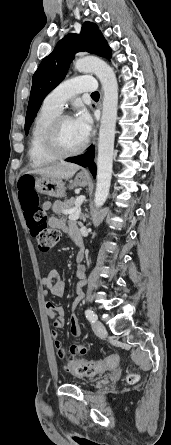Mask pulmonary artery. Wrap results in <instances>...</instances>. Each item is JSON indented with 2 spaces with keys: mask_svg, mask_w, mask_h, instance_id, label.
Segmentation results:
<instances>
[{
  "mask_svg": "<svg viewBox=\"0 0 171 445\" xmlns=\"http://www.w3.org/2000/svg\"><path fill=\"white\" fill-rule=\"evenodd\" d=\"M95 79L91 76H78L68 79L55 87L45 98L44 104L61 111L65 103L74 95L82 92H94Z\"/></svg>",
  "mask_w": 171,
  "mask_h": 445,
  "instance_id": "1",
  "label": "pulmonary artery"
}]
</instances>
